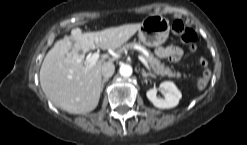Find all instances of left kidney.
Wrapping results in <instances>:
<instances>
[{
	"label": "left kidney",
	"mask_w": 247,
	"mask_h": 145,
	"mask_svg": "<svg viewBox=\"0 0 247 145\" xmlns=\"http://www.w3.org/2000/svg\"><path fill=\"white\" fill-rule=\"evenodd\" d=\"M160 89L165 91V98L157 97V89L153 88L147 91L146 96L152 104L161 109H169L176 107L182 97L181 92L176 85L171 81H165L160 84Z\"/></svg>",
	"instance_id": "obj_1"
}]
</instances>
